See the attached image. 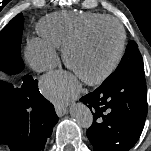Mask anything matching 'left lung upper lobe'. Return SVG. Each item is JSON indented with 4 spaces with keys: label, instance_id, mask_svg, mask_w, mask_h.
Segmentation results:
<instances>
[{
    "label": "left lung upper lobe",
    "instance_id": "obj_1",
    "mask_svg": "<svg viewBox=\"0 0 151 151\" xmlns=\"http://www.w3.org/2000/svg\"><path fill=\"white\" fill-rule=\"evenodd\" d=\"M144 69L143 59L135 41H130L126 47V52L116 70L102 83L101 86L109 85L120 76L130 70Z\"/></svg>",
    "mask_w": 151,
    "mask_h": 151
}]
</instances>
